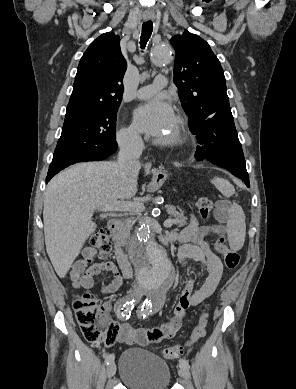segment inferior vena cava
I'll return each mask as SVG.
<instances>
[{"label": "inferior vena cava", "instance_id": "obj_1", "mask_svg": "<svg viewBox=\"0 0 296 389\" xmlns=\"http://www.w3.org/2000/svg\"><path fill=\"white\" fill-rule=\"evenodd\" d=\"M144 143L137 133H128L120 140L118 163L125 169L135 172V164L138 162Z\"/></svg>", "mask_w": 296, "mask_h": 389}]
</instances>
